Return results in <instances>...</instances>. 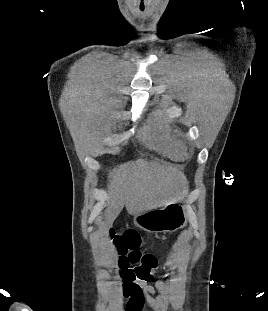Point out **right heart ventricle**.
Segmentation results:
<instances>
[{"instance_id": "e07e8e85", "label": "right heart ventricle", "mask_w": 268, "mask_h": 311, "mask_svg": "<svg viewBox=\"0 0 268 311\" xmlns=\"http://www.w3.org/2000/svg\"><path fill=\"white\" fill-rule=\"evenodd\" d=\"M142 141L175 160H183L187 155L178 128L172 123V117L164 110H158L151 116L145 126Z\"/></svg>"}]
</instances>
